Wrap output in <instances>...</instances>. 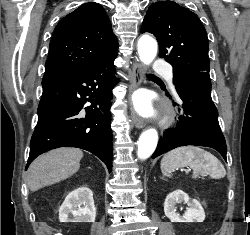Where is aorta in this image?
I'll use <instances>...</instances> for the list:
<instances>
[{"label":"aorta","mask_w":250,"mask_h":235,"mask_svg":"<svg viewBox=\"0 0 250 235\" xmlns=\"http://www.w3.org/2000/svg\"><path fill=\"white\" fill-rule=\"evenodd\" d=\"M140 60L150 64L157 54V42L150 36L144 35L138 41ZM158 142V133L155 129L144 131L138 141L137 155L140 159H147L155 151Z\"/></svg>","instance_id":"aorta-1"}]
</instances>
